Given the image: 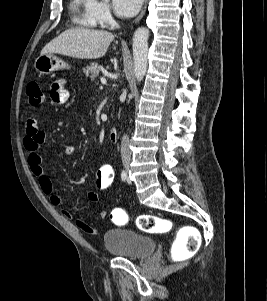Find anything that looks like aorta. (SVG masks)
<instances>
[{
  "label": "aorta",
  "mask_w": 267,
  "mask_h": 301,
  "mask_svg": "<svg viewBox=\"0 0 267 301\" xmlns=\"http://www.w3.org/2000/svg\"><path fill=\"white\" fill-rule=\"evenodd\" d=\"M108 1V0H105ZM149 30L145 27L138 28L133 37L134 74L140 82L147 70Z\"/></svg>",
  "instance_id": "aorta-1"
}]
</instances>
